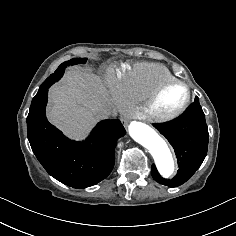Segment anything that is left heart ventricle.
Instances as JSON below:
<instances>
[{"label":"left heart ventricle","instance_id":"1","mask_svg":"<svg viewBox=\"0 0 236 236\" xmlns=\"http://www.w3.org/2000/svg\"><path fill=\"white\" fill-rule=\"evenodd\" d=\"M184 96L185 89L181 86H174L167 89L158 102V111L162 114L172 112L182 103Z\"/></svg>","mask_w":236,"mask_h":236}]
</instances>
